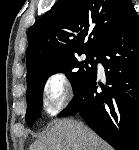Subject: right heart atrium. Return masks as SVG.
Masks as SVG:
<instances>
[{
	"mask_svg": "<svg viewBox=\"0 0 139 150\" xmlns=\"http://www.w3.org/2000/svg\"><path fill=\"white\" fill-rule=\"evenodd\" d=\"M71 97L70 83L65 74L52 73L47 77L43 87V109L48 115H56L69 103Z\"/></svg>",
	"mask_w": 139,
	"mask_h": 150,
	"instance_id": "d8ad5b80",
	"label": "right heart atrium"
}]
</instances>
